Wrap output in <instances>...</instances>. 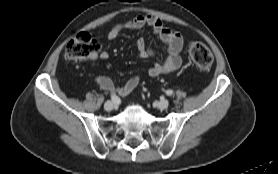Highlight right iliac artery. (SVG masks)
Masks as SVG:
<instances>
[{
  "label": "right iliac artery",
  "mask_w": 278,
  "mask_h": 174,
  "mask_svg": "<svg viewBox=\"0 0 278 174\" xmlns=\"http://www.w3.org/2000/svg\"><path fill=\"white\" fill-rule=\"evenodd\" d=\"M111 99H112V102H113L114 104H119V103H120V98L117 97V96L114 95V94L111 95Z\"/></svg>",
  "instance_id": "right-iliac-artery-1"
}]
</instances>
